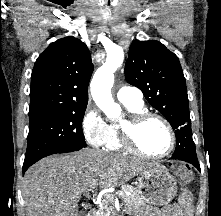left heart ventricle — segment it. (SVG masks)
<instances>
[{
    "label": "left heart ventricle",
    "instance_id": "1",
    "mask_svg": "<svg viewBox=\"0 0 221 216\" xmlns=\"http://www.w3.org/2000/svg\"><path fill=\"white\" fill-rule=\"evenodd\" d=\"M139 144L153 154L164 153L170 144V137L165 125L156 119L146 121L138 134Z\"/></svg>",
    "mask_w": 221,
    "mask_h": 216
}]
</instances>
